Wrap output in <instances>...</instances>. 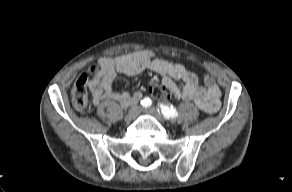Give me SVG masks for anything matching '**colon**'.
Listing matches in <instances>:
<instances>
[{
	"mask_svg": "<svg viewBox=\"0 0 292 192\" xmlns=\"http://www.w3.org/2000/svg\"><path fill=\"white\" fill-rule=\"evenodd\" d=\"M101 64L97 63L90 67L89 73L94 74L99 72ZM88 84L89 77L87 74H82L75 82L71 91V100L74 108L78 111H83L88 105ZM149 93L156 99L166 100L171 98L169 90L160 85L149 88Z\"/></svg>",
	"mask_w": 292,
	"mask_h": 192,
	"instance_id": "colon-1",
	"label": "colon"
}]
</instances>
